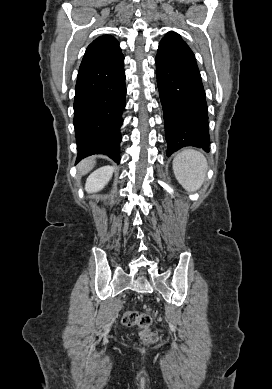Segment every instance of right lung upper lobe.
Wrapping results in <instances>:
<instances>
[{
  "label": "right lung upper lobe",
  "mask_w": 272,
  "mask_h": 389,
  "mask_svg": "<svg viewBox=\"0 0 272 389\" xmlns=\"http://www.w3.org/2000/svg\"><path fill=\"white\" fill-rule=\"evenodd\" d=\"M121 54L119 43L113 36H100L87 47L79 71L101 65Z\"/></svg>",
  "instance_id": "cb5924a9"
}]
</instances>
